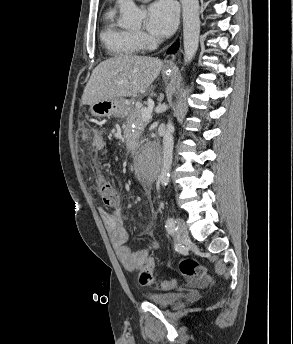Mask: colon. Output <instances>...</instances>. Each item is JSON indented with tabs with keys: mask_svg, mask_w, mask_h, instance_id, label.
I'll return each mask as SVG.
<instances>
[{
	"mask_svg": "<svg viewBox=\"0 0 293 344\" xmlns=\"http://www.w3.org/2000/svg\"><path fill=\"white\" fill-rule=\"evenodd\" d=\"M99 194L103 203L110 208H116L120 205L121 197L118 191L112 186L110 181L105 177H100L98 181ZM155 266L154 259L149 257L146 259L144 265L139 270L138 281L142 286L154 284L153 269ZM179 269L182 275L191 278L195 281L203 280L207 277L206 268L198 261L192 258H184L180 264ZM176 284L173 281L165 282L161 286L163 288H172Z\"/></svg>",
	"mask_w": 293,
	"mask_h": 344,
	"instance_id": "1",
	"label": "colon"
}]
</instances>
